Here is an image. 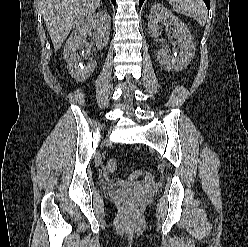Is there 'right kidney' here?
<instances>
[{"instance_id": "1", "label": "right kidney", "mask_w": 248, "mask_h": 247, "mask_svg": "<svg viewBox=\"0 0 248 247\" xmlns=\"http://www.w3.org/2000/svg\"><path fill=\"white\" fill-rule=\"evenodd\" d=\"M87 35L91 37L98 48L108 44L110 35V16L106 11L97 12L79 23L65 43L64 59L71 76L79 82L87 80L96 67V61L89 58L87 65L78 55V50L87 44Z\"/></svg>"}]
</instances>
